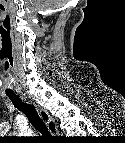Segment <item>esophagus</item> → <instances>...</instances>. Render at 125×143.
<instances>
[{
  "label": "esophagus",
  "mask_w": 125,
  "mask_h": 143,
  "mask_svg": "<svg viewBox=\"0 0 125 143\" xmlns=\"http://www.w3.org/2000/svg\"><path fill=\"white\" fill-rule=\"evenodd\" d=\"M36 109L41 117V119L45 122L49 132L52 135L58 134V127L55 122V119L50 116V114L43 108L36 106Z\"/></svg>",
  "instance_id": "esophagus-1"
}]
</instances>
